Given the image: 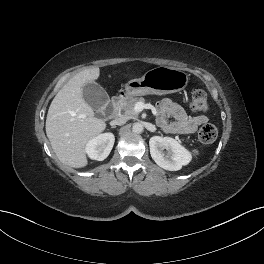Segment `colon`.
Segmentation results:
<instances>
[{
	"label": "colon",
	"instance_id": "colon-1",
	"mask_svg": "<svg viewBox=\"0 0 264 264\" xmlns=\"http://www.w3.org/2000/svg\"><path fill=\"white\" fill-rule=\"evenodd\" d=\"M190 109L196 113H202L208 109L207 95L203 90L197 89L193 91L190 100ZM198 138L200 142L205 144L214 142L217 138L216 127L212 124L203 125L198 132Z\"/></svg>",
	"mask_w": 264,
	"mask_h": 264
}]
</instances>
